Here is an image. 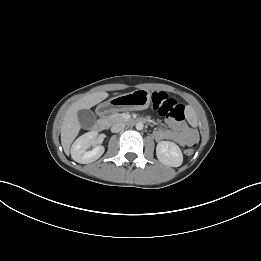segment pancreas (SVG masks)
Wrapping results in <instances>:
<instances>
[{
	"mask_svg": "<svg viewBox=\"0 0 261 261\" xmlns=\"http://www.w3.org/2000/svg\"><path fill=\"white\" fill-rule=\"evenodd\" d=\"M105 120L109 124H113L115 122L124 121V117L122 116V114L114 113V114L108 116Z\"/></svg>",
	"mask_w": 261,
	"mask_h": 261,
	"instance_id": "1",
	"label": "pancreas"
}]
</instances>
